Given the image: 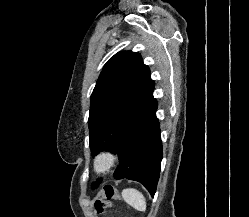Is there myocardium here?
Masks as SVG:
<instances>
[{"instance_id":"f54148a6","label":"myocardium","mask_w":249,"mask_h":217,"mask_svg":"<svg viewBox=\"0 0 249 217\" xmlns=\"http://www.w3.org/2000/svg\"><path fill=\"white\" fill-rule=\"evenodd\" d=\"M117 161L118 154L114 150H100L93 158V171L96 174H105L116 165Z\"/></svg>"}]
</instances>
